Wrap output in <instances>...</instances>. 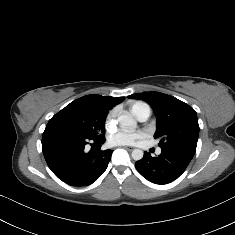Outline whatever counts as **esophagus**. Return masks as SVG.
Masks as SVG:
<instances>
[{
  "label": "esophagus",
  "instance_id": "34e87169",
  "mask_svg": "<svg viewBox=\"0 0 235 235\" xmlns=\"http://www.w3.org/2000/svg\"><path fill=\"white\" fill-rule=\"evenodd\" d=\"M122 148H124V149H126V150H128V151H131V150L134 149V148L131 147V146H122Z\"/></svg>",
  "mask_w": 235,
  "mask_h": 235
}]
</instances>
